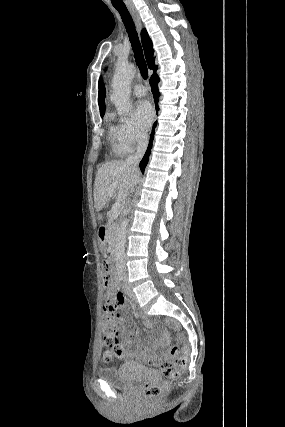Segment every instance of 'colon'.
I'll use <instances>...</instances> for the list:
<instances>
[{
	"instance_id": "obj_1",
	"label": "colon",
	"mask_w": 285,
	"mask_h": 427,
	"mask_svg": "<svg viewBox=\"0 0 285 427\" xmlns=\"http://www.w3.org/2000/svg\"><path fill=\"white\" fill-rule=\"evenodd\" d=\"M102 276L104 282V309L105 316L102 324L103 339L106 345V353L104 358L106 361H112L122 354L125 350L117 336V325L114 310L117 308V292L115 285L110 279L111 266L108 262H103ZM167 323L175 330L178 329L177 321L169 318ZM187 350L183 349L182 354H179V348L174 347L169 352V356L174 357V362H163L161 368L164 379L158 385L148 386L145 389L146 400L148 402H156L161 395L169 388L170 379L176 378L180 372L187 366ZM151 363L155 364V356L151 357Z\"/></svg>"
}]
</instances>
